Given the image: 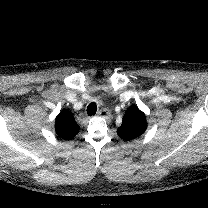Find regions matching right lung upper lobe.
<instances>
[{
    "mask_svg": "<svg viewBox=\"0 0 208 208\" xmlns=\"http://www.w3.org/2000/svg\"><path fill=\"white\" fill-rule=\"evenodd\" d=\"M79 129L80 127L69 110H62L56 117L55 130L59 138L71 140L79 132Z\"/></svg>",
    "mask_w": 208,
    "mask_h": 208,
    "instance_id": "cb5924a9",
    "label": "right lung upper lobe"
}]
</instances>
